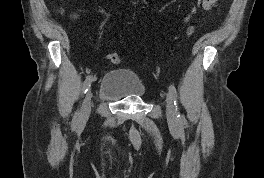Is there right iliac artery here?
<instances>
[{
	"label": "right iliac artery",
	"instance_id": "right-iliac-artery-1",
	"mask_svg": "<svg viewBox=\"0 0 264 178\" xmlns=\"http://www.w3.org/2000/svg\"><path fill=\"white\" fill-rule=\"evenodd\" d=\"M91 82H92V76L89 75L86 77L85 81H84V84H83V93H86L88 91V89L90 88L91 86ZM79 111H77L73 117V120H72V126L73 127H76L77 124L79 123Z\"/></svg>",
	"mask_w": 264,
	"mask_h": 178
}]
</instances>
